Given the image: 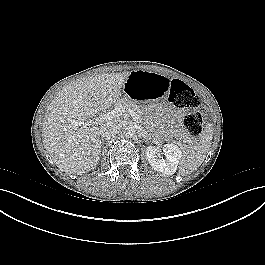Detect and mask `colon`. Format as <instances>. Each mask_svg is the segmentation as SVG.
<instances>
[{
	"instance_id": "1",
	"label": "colon",
	"mask_w": 265,
	"mask_h": 265,
	"mask_svg": "<svg viewBox=\"0 0 265 265\" xmlns=\"http://www.w3.org/2000/svg\"><path fill=\"white\" fill-rule=\"evenodd\" d=\"M170 102L177 108H197L200 100L193 89L180 80H173L169 83ZM204 120L200 111H193L184 118L185 129L193 136H198L203 130Z\"/></svg>"
}]
</instances>
